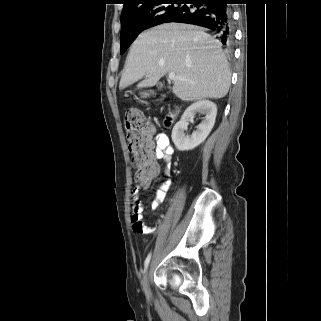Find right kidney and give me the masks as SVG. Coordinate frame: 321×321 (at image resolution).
<instances>
[{
    "mask_svg": "<svg viewBox=\"0 0 321 321\" xmlns=\"http://www.w3.org/2000/svg\"><path fill=\"white\" fill-rule=\"evenodd\" d=\"M196 112L204 114L205 117L191 136L186 135L188 119L193 118ZM216 115L217 107L212 101L199 100L190 105L172 130L171 137L176 148L180 151H188L204 142L215 124Z\"/></svg>",
    "mask_w": 321,
    "mask_h": 321,
    "instance_id": "1",
    "label": "right kidney"
}]
</instances>
